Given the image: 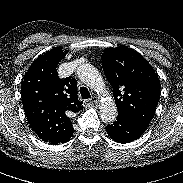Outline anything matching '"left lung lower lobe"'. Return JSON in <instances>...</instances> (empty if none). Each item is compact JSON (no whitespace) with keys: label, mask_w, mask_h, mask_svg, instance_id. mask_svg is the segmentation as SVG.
I'll return each mask as SVG.
<instances>
[{"label":"left lung lower lobe","mask_w":183,"mask_h":183,"mask_svg":"<svg viewBox=\"0 0 183 183\" xmlns=\"http://www.w3.org/2000/svg\"><path fill=\"white\" fill-rule=\"evenodd\" d=\"M147 127L145 122L117 116L113 124L106 126V131L114 141L124 144L139 138Z\"/></svg>","instance_id":"obj_1"}]
</instances>
